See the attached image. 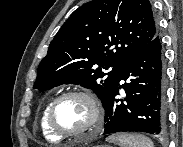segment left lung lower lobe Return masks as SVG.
Here are the masks:
<instances>
[{
    "instance_id": "obj_1",
    "label": "left lung lower lobe",
    "mask_w": 183,
    "mask_h": 147,
    "mask_svg": "<svg viewBox=\"0 0 183 147\" xmlns=\"http://www.w3.org/2000/svg\"><path fill=\"white\" fill-rule=\"evenodd\" d=\"M121 80L128 82L120 85ZM164 64L160 38L156 35L123 66L105 102L104 134L166 131ZM123 88L126 96L119 99Z\"/></svg>"
}]
</instances>
